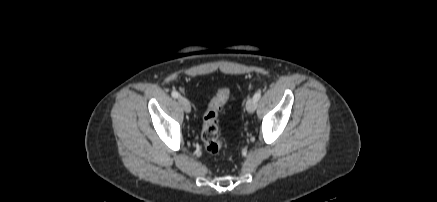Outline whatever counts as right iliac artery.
Here are the masks:
<instances>
[{"label": "right iliac artery", "mask_w": 437, "mask_h": 202, "mask_svg": "<svg viewBox=\"0 0 437 202\" xmlns=\"http://www.w3.org/2000/svg\"><path fill=\"white\" fill-rule=\"evenodd\" d=\"M171 94H172V97H174V98L179 97V93L177 91H173Z\"/></svg>", "instance_id": "82829eb1"}]
</instances>
